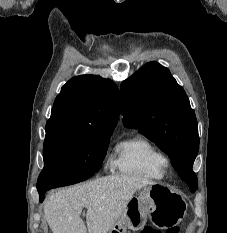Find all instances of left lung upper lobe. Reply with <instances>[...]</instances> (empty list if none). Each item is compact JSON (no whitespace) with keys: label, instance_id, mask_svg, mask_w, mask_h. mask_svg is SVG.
I'll return each instance as SVG.
<instances>
[{"label":"left lung upper lobe","instance_id":"left-lung-upper-lobe-1","mask_svg":"<svg viewBox=\"0 0 227 233\" xmlns=\"http://www.w3.org/2000/svg\"><path fill=\"white\" fill-rule=\"evenodd\" d=\"M120 107L124 125L137 128L164 151L179 176L195 192L192 167L199 150L198 124L183 88L169 70L149 62L122 82Z\"/></svg>","mask_w":227,"mask_h":233}]
</instances>
